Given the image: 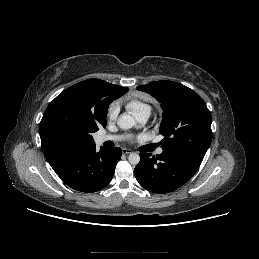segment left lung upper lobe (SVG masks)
<instances>
[{
    "label": "left lung upper lobe",
    "instance_id": "left-lung-upper-lobe-1",
    "mask_svg": "<svg viewBox=\"0 0 259 259\" xmlns=\"http://www.w3.org/2000/svg\"><path fill=\"white\" fill-rule=\"evenodd\" d=\"M158 99L163 108L159 132L165 151H185L205 156L212 140L211 114L203 99L190 88L167 80L138 86Z\"/></svg>",
    "mask_w": 259,
    "mask_h": 259
}]
</instances>
